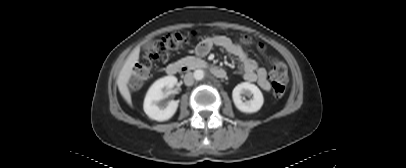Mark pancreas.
Returning a JSON list of instances; mask_svg holds the SVG:
<instances>
[{
  "label": "pancreas",
  "mask_w": 406,
  "mask_h": 168,
  "mask_svg": "<svg viewBox=\"0 0 406 168\" xmlns=\"http://www.w3.org/2000/svg\"><path fill=\"white\" fill-rule=\"evenodd\" d=\"M179 62L183 65L188 66L190 69H194L206 64L204 60H201L200 58H196L194 56H187L185 58H182Z\"/></svg>",
  "instance_id": "obj_1"
}]
</instances>
